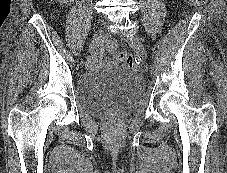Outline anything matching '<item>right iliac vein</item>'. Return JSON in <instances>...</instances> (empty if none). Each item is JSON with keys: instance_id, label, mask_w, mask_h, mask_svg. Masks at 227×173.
I'll use <instances>...</instances> for the list:
<instances>
[{"instance_id": "obj_1", "label": "right iliac vein", "mask_w": 227, "mask_h": 173, "mask_svg": "<svg viewBox=\"0 0 227 173\" xmlns=\"http://www.w3.org/2000/svg\"><path fill=\"white\" fill-rule=\"evenodd\" d=\"M101 40H102L101 32L100 31L95 32V34L93 35L92 41L89 45L90 53H93L95 50L98 49V47L101 44Z\"/></svg>"}]
</instances>
